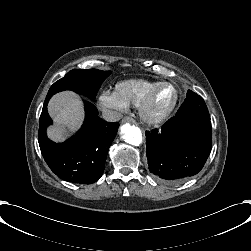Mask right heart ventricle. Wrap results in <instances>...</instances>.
I'll return each instance as SVG.
<instances>
[{
  "mask_svg": "<svg viewBox=\"0 0 251 251\" xmlns=\"http://www.w3.org/2000/svg\"><path fill=\"white\" fill-rule=\"evenodd\" d=\"M156 78H130L115 84V94L128 106L139 107Z\"/></svg>",
  "mask_w": 251,
  "mask_h": 251,
  "instance_id": "right-heart-ventricle-1",
  "label": "right heart ventricle"
}]
</instances>
